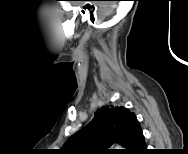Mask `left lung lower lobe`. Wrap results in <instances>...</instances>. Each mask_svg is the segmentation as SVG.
<instances>
[{"label": "left lung lower lobe", "instance_id": "1", "mask_svg": "<svg viewBox=\"0 0 188 154\" xmlns=\"http://www.w3.org/2000/svg\"><path fill=\"white\" fill-rule=\"evenodd\" d=\"M124 146L127 148L124 150L126 154H137L146 150L144 136L136 116L131 118Z\"/></svg>", "mask_w": 188, "mask_h": 154}]
</instances>
